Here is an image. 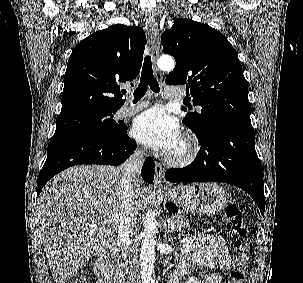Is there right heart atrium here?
<instances>
[{
	"label": "right heart atrium",
	"instance_id": "d8ad5b80",
	"mask_svg": "<svg viewBox=\"0 0 303 283\" xmlns=\"http://www.w3.org/2000/svg\"><path fill=\"white\" fill-rule=\"evenodd\" d=\"M137 152H139V153H143V149L141 148V147H137Z\"/></svg>",
	"mask_w": 303,
	"mask_h": 283
}]
</instances>
